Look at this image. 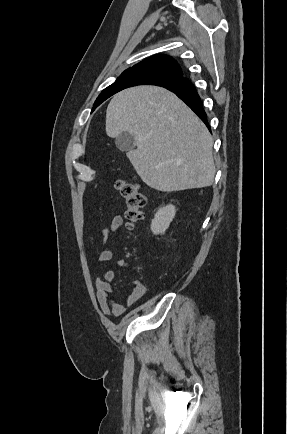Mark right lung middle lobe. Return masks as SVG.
<instances>
[{"label": "right lung middle lobe", "mask_w": 287, "mask_h": 434, "mask_svg": "<svg viewBox=\"0 0 287 434\" xmlns=\"http://www.w3.org/2000/svg\"><path fill=\"white\" fill-rule=\"evenodd\" d=\"M177 76L160 69L138 68L124 71L117 80L105 88L94 103L93 110L113 94L135 85L155 84L176 79ZM92 110V111H93Z\"/></svg>", "instance_id": "obj_1"}]
</instances>
